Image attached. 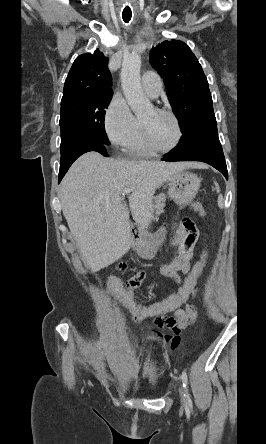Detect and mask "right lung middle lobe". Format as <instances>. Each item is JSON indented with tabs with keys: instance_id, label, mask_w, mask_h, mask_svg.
<instances>
[{
	"instance_id": "dd1d6c3e",
	"label": "right lung middle lobe",
	"mask_w": 266,
	"mask_h": 444,
	"mask_svg": "<svg viewBox=\"0 0 266 444\" xmlns=\"http://www.w3.org/2000/svg\"><path fill=\"white\" fill-rule=\"evenodd\" d=\"M111 98L112 92H104L61 102V158L86 140L109 145L104 118Z\"/></svg>"
}]
</instances>
